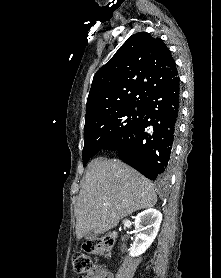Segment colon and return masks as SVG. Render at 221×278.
Here are the masks:
<instances>
[{
  "mask_svg": "<svg viewBox=\"0 0 221 278\" xmlns=\"http://www.w3.org/2000/svg\"><path fill=\"white\" fill-rule=\"evenodd\" d=\"M113 243L111 238L96 239L89 242L85 246V250L89 253L100 254ZM73 269L76 273L80 274L79 278H85L92 276L97 268L93 263L92 259L85 254H74L72 257Z\"/></svg>",
  "mask_w": 221,
  "mask_h": 278,
  "instance_id": "obj_1",
  "label": "colon"
}]
</instances>
